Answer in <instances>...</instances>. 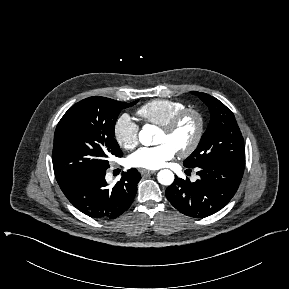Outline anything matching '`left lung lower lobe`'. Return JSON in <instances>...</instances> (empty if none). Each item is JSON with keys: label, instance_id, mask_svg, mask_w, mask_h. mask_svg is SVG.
<instances>
[{"label": "left lung lower lobe", "instance_id": "1", "mask_svg": "<svg viewBox=\"0 0 289 289\" xmlns=\"http://www.w3.org/2000/svg\"><path fill=\"white\" fill-rule=\"evenodd\" d=\"M200 179L175 178L166 189L169 202L181 213L203 218L226 206L236 193L241 182L244 163L218 160L198 166Z\"/></svg>", "mask_w": 289, "mask_h": 289}]
</instances>
